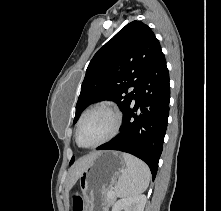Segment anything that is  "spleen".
<instances>
[{"label": "spleen", "mask_w": 221, "mask_h": 211, "mask_svg": "<svg viewBox=\"0 0 221 211\" xmlns=\"http://www.w3.org/2000/svg\"><path fill=\"white\" fill-rule=\"evenodd\" d=\"M127 169L121 174L115 185V194L120 198L137 196L149 185L151 172L148 166L130 154H122Z\"/></svg>", "instance_id": "obj_1"}]
</instances>
